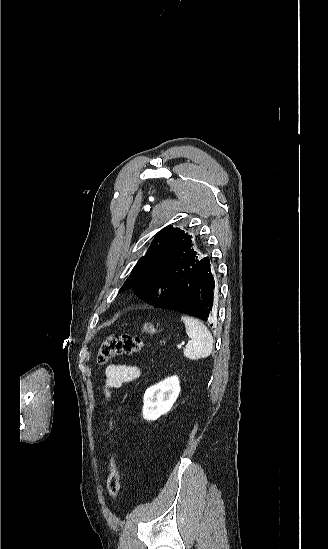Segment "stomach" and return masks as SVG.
<instances>
[{"mask_svg":"<svg viewBox=\"0 0 328 549\" xmlns=\"http://www.w3.org/2000/svg\"><path fill=\"white\" fill-rule=\"evenodd\" d=\"M142 331L143 333H148V335H155V333H159L158 329H156L153 323H144Z\"/></svg>","mask_w":328,"mask_h":549,"instance_id":"0dacf381","label":"stomach"}]
</instances>
